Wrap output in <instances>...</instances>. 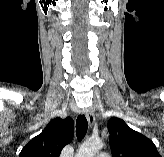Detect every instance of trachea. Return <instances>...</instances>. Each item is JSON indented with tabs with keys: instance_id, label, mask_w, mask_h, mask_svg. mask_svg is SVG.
Here are the masks:
<instances>
[{
	"instance_id": "trachea-1",
	"label": "trachea",
	"mask_w": 164,
	"mask_h": 157,
	"mask_svg": "<svg viewBox=\"0 0 164 157\" xmlns=\"http://www.w3.org/2000/svg\"><path fill=\"white\" fill-rule=\"evenodd\" d=\"M88 122L84 115H79L76 120V135L78 141H81L87 132Z\"/></svg>"
}]
</instances>
